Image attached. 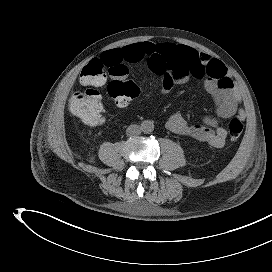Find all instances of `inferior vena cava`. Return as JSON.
<instances>
[{"mask_svg":"<svg viewBox=\"0 0 272 272\" xmlns=\"http://www.w3.org/2000/svg\"><path fill=\"white\" fill-rule=\"evenodd\" d=\"M141 131H142V129L140 126L133 124L127 128L126 133H127V135H139L141 133Z\"/></svg>","mask_w":272,"mask_h":272,"instance_id":"inferior-vena-cava-1","label":"inferior vena cava"}]
</instances>
